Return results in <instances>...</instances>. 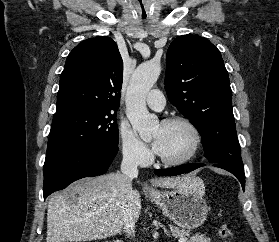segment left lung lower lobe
<instances>
[{
    "label": "left lung lower lobe",
    "mask_w": 279,
    "mask_h": 242,
    "mask_svg": "<svg viewBox=\"0 0 279 242\" xmlns=\"http://www.w3.org/2000/svg\"><path fill=\"white\" fill-rule=\"evenodd\" d=\"M205 164H184V165H180L177 167H173V168H169V169H158L155 170V174L158 176H171V175H180V174H184V173H189L199 167L204 166ZM216 167H220L222 169H225L229 172H231L232 174H234L238 180L240 181L243 191L245 189V174L243 172H238L236 170H233L231 168L226 167L223 164H218L215 165Z\"/></svg>",
    "instance_id": "obj_1"
}]
</instances>
